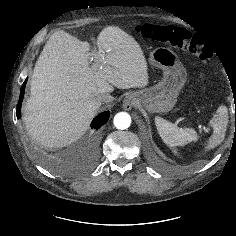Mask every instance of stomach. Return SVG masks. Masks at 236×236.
Here are the masks:
<instances>
[{
	"label": "stomach",
	"mask_w": 236,
	"mask_h": 236,
	"mask_svg": "<svg viewBox=\"0 0 236 236\" xmlns=\"http://www.w3.org/2000/svg\"><path fill=\"white\" fill-rule=\"evenodd\" d=\"M149 62L162 69L163 78L152 87L134 92V104L151 113L169 112L175 106L186 82V70L176 53L165 47L154 49L150 53Z\"/></svg>",
	"instance_id": "stomach-1"
}]
</instances>
